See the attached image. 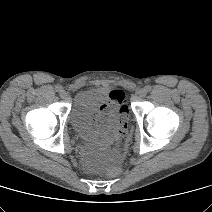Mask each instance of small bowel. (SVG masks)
<instances>
[{
	"mask_svg": "<svg viewBox=\"0 0 212 212\" xmlns=\"http://www.w3.org/2000/svg\"><path fill=\"white\" fill-rule=\"evenodd\" d=\"M111 93V100L115 102L124 99V93L121 90H114ZM89 120L101 136L114 135L118 137L125 132L124 122L115 114L110 103L100 104L91 112Z\"/></svg>",
	"mask_w": 212,
	"mask_h": 212,
	"instance_id": "small-bowel-1",
	"label": "small bowel"
}]
</instances>
